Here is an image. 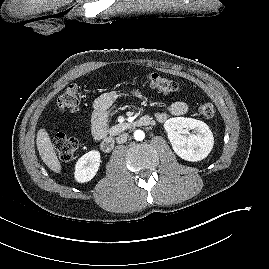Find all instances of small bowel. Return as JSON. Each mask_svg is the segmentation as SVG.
I'll return each instance as SVG.
<instances>
[{"mask_svg":"<svg viewBox=\"0 0 269 269\" xmlns=\"http://www.w3.org/2000/svg\"><path fill=\"white\" fill-rule=\"evenodd\" d=\"M118 99L115 92H107L97 97L93 104L92 115V134L95 139L103 138L107 131L108 110L110 106ZM188 112V105L183 101H176L171 104L169 110L158 111L156 117L159 121L164 122L170 117H181Z\"/></svg>","mask_w":269,"mask_h":269,"instance_id":"1","label":"small bowel"}]
</instances>
